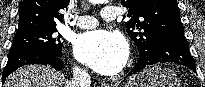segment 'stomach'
I'll return each mask as SVG.
<instances>
[{
  "instance_id": "0dacf381",
  "label": "stomach",
  "mask_w": 205,
  "mask_h": 87,
  "mask_svg": "<svg viewBox=\"0 0 205 87\" xmlns=\"http://www.w3.org/2000/svg\"><path fill=\"white\" fill-rule=\"evenodd\" d=\"M125 87H181V81L169 68L154 65L133 75Z\"/></svg>"
}]
</instances>
